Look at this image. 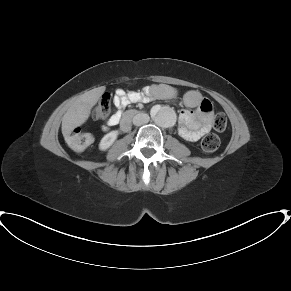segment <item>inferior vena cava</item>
Listing matches in <instances>:
<instances>
[{"instance_id":"obj_1","label":"inferior vena cava","mask_w":291,"mask_h":291,"mask_svg":"<svg viewBox=\"0 0 291 291\" xmlns=\"http://www.w3.org/2000/svg\"><path fill=\"white\" fill-rule=\"evenodd\" d=\"M150 120V117L148 114L146 113H139L137 115L134 116L133 118V124L136 126H142L146 123H148Z\"/></svg>"}]
</instances>
